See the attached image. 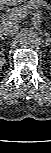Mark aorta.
Returning <instances> with one entry per match:
<instances>
[{
	"label": "aorta",
	"mask_w": 51,
	"mask_h": 153,
	"mask_svg": "<svg viewBox=\"0 0 51 153\" xmlns=\"http://www.w3.org/2000/svg\"><path fill=\"white\" fill-rule=\"evenodd\" d=\"M19 40L23 47H34L39 41V36L33 30H24L21 32Z\"/></svg>",
	"instance_id": "762f6f07"
}]
</instances>
